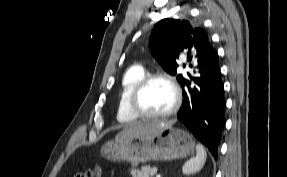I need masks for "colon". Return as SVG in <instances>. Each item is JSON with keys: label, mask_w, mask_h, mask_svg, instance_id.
Masks as SVG:
<instances>
[{"label": "colon", "mask_w": 287, "mask_h": 177, "mask_svg": "<svg viewBox=\"0 0 287 177\" xmlns=\"http://www.w3.org/2000/svg\"><path fill=\"white\" fill-rule=\"evenodd\" d=\"M72 177H100V169L99 168L87 169L85 171L73 174Z\"/></svg>", "instance_id": "5ec220e1"}]
</instances>
